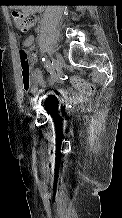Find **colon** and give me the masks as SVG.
<instances>
[{
	"mask_svg": "<svg viewBox=\"0 0 122 218\" xmlns=\"http://www.w3.org/2000/svg\"><path fill=\"white\" fill-rule=\"evenodd\" d=\"M11 19L16 28L23 32L30 29L34 22V18L31 15L17 10L11 12ZM19 58L22 86L25 91H30L32 88L31 54L29 51L21 49ZM74 84L85 93H91L92 91V87L81 80H75Z\"/></svg>",
	"mask_w": 122,
	"mask_h": 218,
	"instance_id": "5ec220e1",
	"label": "colon"
}]
</instances>
